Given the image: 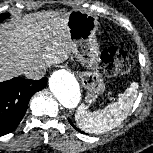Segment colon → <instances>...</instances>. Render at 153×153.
<instances>
[{
	"label": "colon",
	"instance_id": "obj_1",
	"mask_svg": "<svg viewBox=\"0 0 153 153\" xmlns=\"http://www.w3.org/2000/svg\"><path fill=\"white\" fill-rule=\"evenodd\" d=\"M101 60L105 65V74L115 76L130 70L132 58L130 54L117 46H112L101 54Z\"/></svg>",
	"mask_w": 153,
	"mask_h": 153
}]
</instances>
